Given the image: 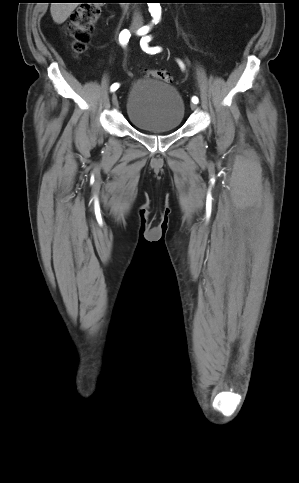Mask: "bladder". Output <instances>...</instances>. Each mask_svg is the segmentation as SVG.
<instances>
[{
  "label": "bladder",
  "mask_w": 299,
  "mask_h": 483,
  "mask_svg": "<svg viewBox=\"0 0 299 483\" xmlns=\"http://www.w3.org/2000/svg\"><path fill=\"white\" fill-rule=\"evenodd\" d=\"M184 101L177 89L157 79L136 82L127 95L126 115L138 130H177L184 118Z\"/></svg>",
  "instance_id": "1"
}]
</instances>
